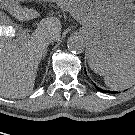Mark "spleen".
Instances as JSON below:
<instances>
[{"instance_id":"spleen-1","label":"spleen","mask_w":135,"mask_h":135,"mask_svg":"<svg viewBox=\"0 0 135 135\" xmlns=\"http://www.w3.org/2000/svg\"><path fill=\"white\" fill-rule=\"evenodd\" d=\"M104 82L107 87L115 91L125 90L135 84V65L117 74L106 75Z\"/></svg>"}]
</instances>
